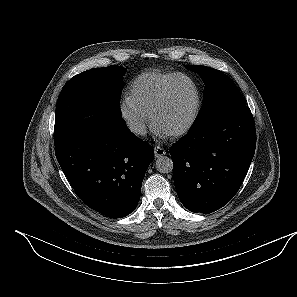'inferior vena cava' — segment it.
I'll return each instance as SVG.
<instances>
[{"instance_id":"602c4592","label":"inferior vena cava","mask_w":297,"mask_h":297,"mask_svg":"<svg viewBox=\"0 0 297 297\" xmlns=\"http://www.w3.org/2000/svg\"><path fill=\"white\" fill-rule=\"evenodd\" d=\"M129 129L136 135L144 136L147 133L146 126L142 121H133L129 124Z\"/></svg>"}]
</instances>
